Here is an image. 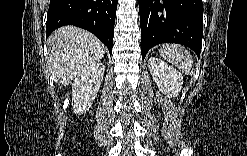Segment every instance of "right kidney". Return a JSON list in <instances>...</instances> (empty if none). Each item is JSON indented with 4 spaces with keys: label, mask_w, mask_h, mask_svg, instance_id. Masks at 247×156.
Here are the masks:
<instances>
[{
    "label": "right kidney",
    "mask_w": 247,
    "mask_h": 156,
    "mask_svg": "<svg viewBox=\"0 0 247 156\" xmlns=\"http://www.w3.org/2000/svg\"><path fill=\"white\" fill-rule=\"evenodd\" d=\"M105 66L97 63L81 71L72 83V108L82 115L92 106L103 80Z\"/></svg>",
    "instance_id": "1"
}]
</instances>
